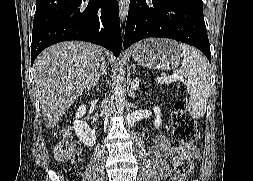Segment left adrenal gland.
Masks as SVG:
<instances>
[{"mask_svg": "<svg viewBox=\"0 0 253 181\" xmlns=\"http://www.w3.org/2000/svg\"><path fill=\"white\" fill-rule=\"evenodd\" d=\"M130 94H131V95H134V94H135V91L132 89V86H131V89H130Z\"/></svg>", "mask_w": 253, "mask_h": 181, "instance_id": "left-adrenal-gland-1", "label": "left adrenal gland"}]
</instances>
